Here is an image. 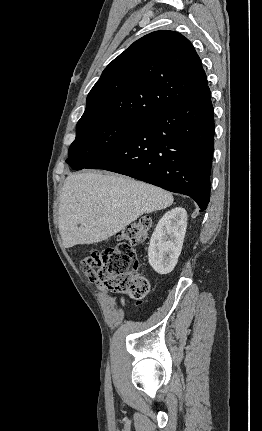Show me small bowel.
<instances>
[{
    "label": "small bowel",
    "instance_id": "1",
    "mask_svg": "<svg viewBox=\"0 0 262 431\" xmlns=\"http://www.w3.org/2000/svg\"><path fill=\"white\" fill-rule=\"evenodd\" d=\"M89 277V276H88ZM89 279H91L89 277ZM97 288L105 295H109L108 291L106 289H104L100 284H96ZM114 297V296H113Z\"/></svg>",
    "mask_w": 262,
    "mask_h": 431
}]
</instances>
